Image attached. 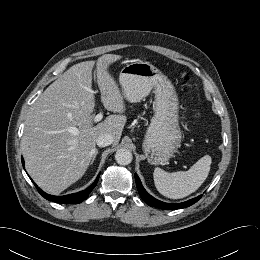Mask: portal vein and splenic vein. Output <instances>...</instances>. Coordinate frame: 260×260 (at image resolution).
<instances>
[{
	"label": "portal vein and splenic vein",
	"mask_w": 260,
	"mask_h": 260,
	"mask_svg": "<svg viewBox=\"0 0 260 260\" xmlns=\"http://www.w3.org/2000/svg\"><path fill=\"white\" fill-rule=\"evenodd\" d=\"M103 118V114L100 112L98 113L95 117H94V122L97 123L99 121H101Z\"/></svg>",
	"instance_id": "portal-vein-and-splenic-vein-1"
}]
</instances>
